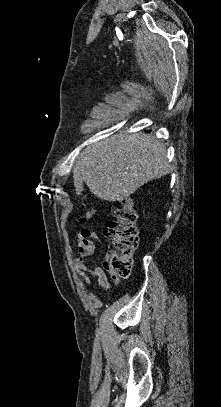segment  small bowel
Listing matches in <instances>:
<instances>
[{"instance_id": "1", "label": "small bowel", "mask_w": 221, "mask_h": 407, "mask_svg": "<svg viewBox=\"0 0 221 407\" xmlns=\"http://www.w3.org/2000/svg\"><path fill=\"white\" fill-rule=\"evenodd\" d=\"M99 236L91 232L88 237H84L82 234L78 237V253L79 256L73 262V268L79 277L80 281L87 287L91 285V277H95L98 281L100 288L107 292L109 290L110 284L106 274V261L103 263L102 267L89 268L87 262L89 257L95 251V241H99ZM107 259V257H106ZM115 283H118V278L113 276Z\"/></svg>"}]
</instances>
